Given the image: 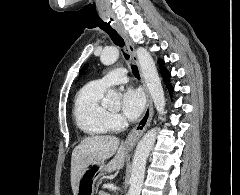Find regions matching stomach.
<instances>
[{
    "label": "stomach",
    "mask_w": 240,
    "mask_h": 195,
    "mask_svg": "<svg viewBox=\"0 0 240 195\" xmlns=\"http://www.w3.org/2000/svg\"><path fill=\"white\" fill-rule=\"evenodd\" d=\"M104 171V161L93 163V165L87 167L82 179L78 183L77 195H95L96 181L101 175H104Z\"/></svg>",
    "instance_id": "0dacf381"
}]
</instances>
